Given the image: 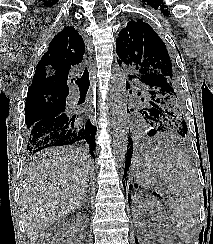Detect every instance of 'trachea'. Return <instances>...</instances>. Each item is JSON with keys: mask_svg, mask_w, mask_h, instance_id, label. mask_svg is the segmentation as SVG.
<instances>
[{"mask_svg": "<svg viewBox=\"0 0 213 244\" xmlns=\"http://www.w3.org/2000/svg\"><path fill=\"white\" fill-rule=\"evenodd\" d=\"M76 84L79 87L81 93H86L89 89L90 80H89V72L85 69L82 77L76 80Z\"/></svg>", "mask_w": 213, "mask_h": 244, "instance_id": "1", "label": "trachea"}]
</instances>
